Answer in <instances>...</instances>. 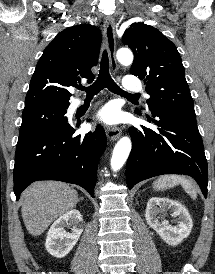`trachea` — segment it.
I'll list each match as a JSON object with an SVG mask.
<instances>
[{"label":"trachea","mask_w":215,"mask_h":274,"mask_svg":"<svg viewBox=\"0 0 215 274\" xmlns=\"http://www.w3.org/2000/svg\"><path fill=\"white\" fill-rule=\"evenodd\" d=\"M80 90H85L88 97H92L98 92H100L103 88H108L111 92L115 94H119L125 97H139V94H130L123 91L111 78L109 73V59L108 53L106 50L102 53V59L100 64V72L97 80L89 87L85 88L82 85L76 87Z\"/></svg>","instance_id":"obj_1"}]
</instances>
